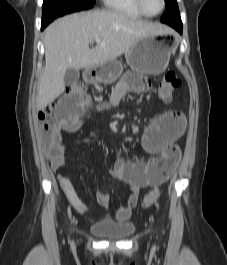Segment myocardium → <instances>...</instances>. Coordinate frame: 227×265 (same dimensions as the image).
Here are the masks:
<instances>
[{
	"instance_id": "myocardium-1",
	"label": "myocardium",
	"mask_w": 227,
	"mask_h": 265,
	"mask_svg": "<svg viewBox=\"0 0 227 265\" xmlns=\"http://www.w3.org/2000/svg\"><path fill=\"white\" fill-rule=\"evenodd\" d=\"M136 6L139 9V11L143 14V16L146 17H155L158 16L160 13L163 12V10L165 9V5H166V1L165 0H161V8L157 13L154 14H150L148 13L143 6V0H135Z\"/></svg>"
}]
</instances>
